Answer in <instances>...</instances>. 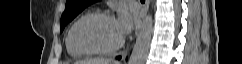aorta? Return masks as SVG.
Listing matches in <instances>:
<instances>
[{
  "label": "aorta",
  "instance_id": "aorta-1",
  "mask_svg": "<svg viewBox=\"0 0 242 64\" xmlns=\"http://www.w3.org/2000/svg\"><path fill=\"white\" fill-rule=\"evenodd\" d=\"M153 33V18L148 14L143 22V27L137 37L132 54L129 59V64H144Z\"/></svg>",
  "mask_w": 242,
  "mask_h": 64
}]
</instances>
